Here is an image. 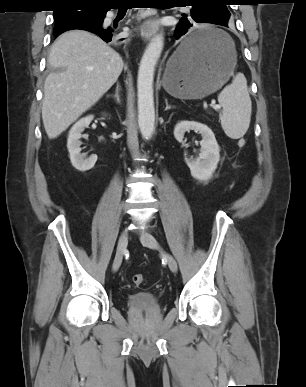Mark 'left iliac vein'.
<instances>
[{"label":"left iliac vein","instance_id":"4c4485c4","mask_svg":"<svg viewBox=\"0 0 306 387\" xmlns=\"http://www.w3.org/2000/svg\"><path fill=\"white\" fill-rule=\"evenodd\" d=\"M140 240H141V243L144 246L148 247V248L160 249V246H159L157 240L150 233L142 234L141 237H140ZM164 256H165V259H166V261L168 263L169 269L173 273H176L177 270H178V266H177L176 260L173 258L172 255H170L168 253H164Z\"/></svg>","mask_w":306,"mask_h":387}]
</instances>
